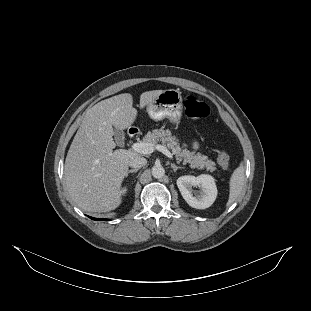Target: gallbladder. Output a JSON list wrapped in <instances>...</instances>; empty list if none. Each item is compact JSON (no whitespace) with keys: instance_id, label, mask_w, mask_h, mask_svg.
Returning <instances> with one entry per match:
<instances>
[{"instance_id":"obj_1","label":"gallbladder","mask_w":311,"mask_h":311,"mask_svg":"<svg viewBox=\"0 0 311 311\" xmlns=\"http://www.w3.org/2000/svg\"><path fill=\"white\" fill-rule=\"evenodd\" d=\"M114 139L117 144H122L124 142V135L122 132L116 131L114 135Z\"/></svg>"}]
</instances>
